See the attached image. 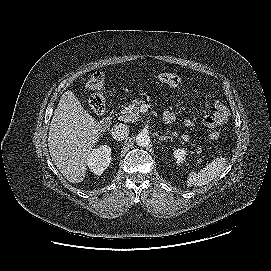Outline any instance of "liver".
<instances>
[{
	"mask_svg": "<svg viewBox=\"0 0 271 271\" xmlns=\"http://www.w3.org/2000/svg\"><path fill=\"white\" fill-rule=\"evenodd\" d=\"M99 137V123L72 91H66L50 123L48 148L54 165L69 182L83 181L88 155Z\"/></svg>",
	"mask_w": 271,
	"mask_h": 271,
	"instance_id": "6515ba94",
	"label": "liver"
}]
</instances>
